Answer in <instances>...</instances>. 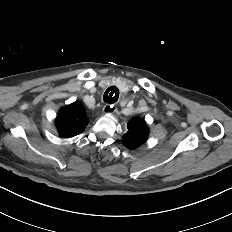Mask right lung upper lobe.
I'll return each instance as SVG.
<instances>
[{"label":"right lung upper lobe","mask_w":232,"mask_h":232,"mask_svg":"<svg viewBox=\"0 0 232 232\" xmlns=\"http://www.w3.org/2000/svg\"><path fill=\"white\" fill-rule=\"evenodd\" d=\"M55 122L59 135L70 138L84 131L88 119L83 107L74 102L58 112Z\"/></svg>","instance_id":"right-lung-upper-lobe-1"}]
</instances>
